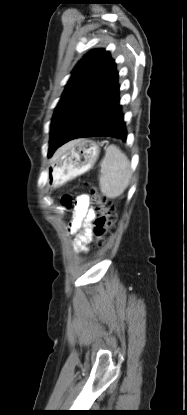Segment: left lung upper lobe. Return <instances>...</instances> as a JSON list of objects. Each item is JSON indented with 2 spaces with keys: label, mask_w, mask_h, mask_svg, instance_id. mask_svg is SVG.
Masks as SVG:
<instances>
[{
  "label": "left lung upper lobe",
  "mask_w": 187,
  "mask_h": 415,
  "mask_svg": "<svg viewBox=\"0 0 187 415\" xmlns=\"http://www.w3.org/2000/svg\"><path fill=\"white\" fill-rule=\"evenodd\" d=\"M110 59L109 52L96 49L86 54L75 66L52 118L49 155L58 148L76 117L90 114L91 105L86 107L85 103L87 96Z\"/></svg>",
  "instance_id": "obj_1"
}]
</instances>
